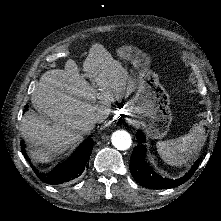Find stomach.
<instances>
[{
    "mask_svg": "<svg viewBox=\"0 0 221 221\" xmlns=\"http://www.w3.org/2000/svg\"><path fill=\"white\" fill-rule=\"evenodd\" d=\"M119 56L133 63L138 73L136 96L128 106L125 118L140 125L150 139L164 138L173 121L171 98L153 72V57L144 49L131 44L122 45Z\"/></svg>",
    "mask_w": 221,
    "mask_h": 221,
    "instance_id": "1",
    "label": "stomach"
}]
</instances>
